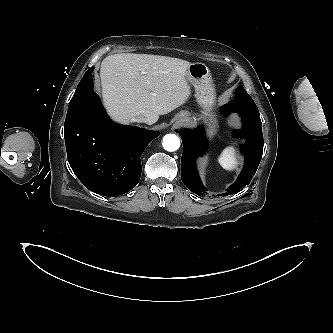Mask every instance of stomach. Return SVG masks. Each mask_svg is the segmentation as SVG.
<instances>
[{"instance_id":"obj_1","label":"stomach","mask_w":333,"mask_h":333,"mask_svg":"<svg viewBox=\"0 0 333 333\" xmlns=\"http://www.w3.org/2000/svg\"><path fill=\"white\" fill-rule=\"evenodd\" d=\"M186 78L194 86L197 102L203 108L201 114L198 115V119L205 124L207 136L213 138L218 131V123L213 115L216 92L210 71L203 63H191L187 69ZM183 113L178 114L176 120H180Z\"/></svg>"}]
</instances>
